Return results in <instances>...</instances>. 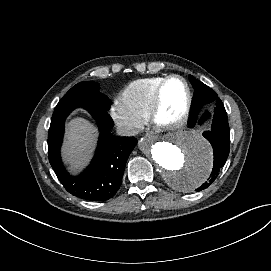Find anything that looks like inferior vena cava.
I'll list each match as a JSON object with an SVG mask.
<instances>
[{
    "instance_id": "obj_1",
    "label": "inferior vena cava",
    "mask_w": 271,
    "mask_h": 271,
    "mask_svg": "<svg viewBox=\"0 0 271 271\" xmlns=\"http://www.w3.org/2000/svg\"><path fill=\"white\" fill-rule=\"evenodd\" d=\"M117 134L120 135V136H126L127 135V130L125 129H117Z\"/></svg>"
}]
</instances>
